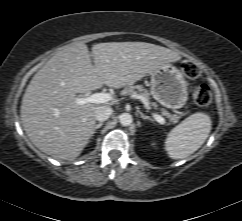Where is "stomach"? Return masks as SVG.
I'll list each match as a JSON object with an SVG mask.
<instances>
[{
	"instance_id": "0dacf381",
	"label": "stomach",
	"mask_w": 242,
	"mask_h": 221,
	"mask_svg": "<svg viewBox=\"0 0 242 221\" xmlns=\"http://www.w3.org/2000/svg\"><path fill=\"white\" fill-rule=\"evenodd\" d=\"M151 92L164 107L178 109L188 100V83L183 73L171 64L159 67L150 73Z\"/></svg>"
}]
</instances>
